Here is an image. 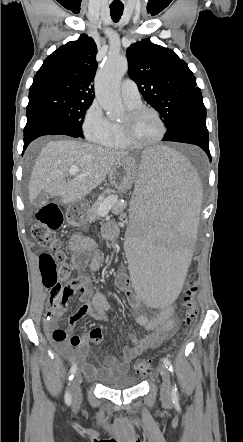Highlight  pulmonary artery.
<instances>
[{"label": "pulmonary artery", "mask_w": 243, "mask_h": 442, "mask_svg": "<svg viewBox=\"0 0 243 442\" xmlns=\"http://www.w3.org/2000/svg\"><path fill=\"white\" fill-rule=\"evenodd\" d=\"M121 94L125 103L136 105L141 103L137 84L131 79H125L121 85Z\"/></svg>", "instance_id": "obj_1"}]
</instances>
